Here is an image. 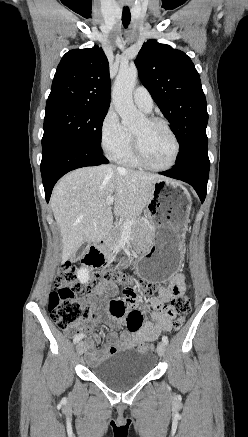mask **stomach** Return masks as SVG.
I'll return each instance as SVG.
<instances>
[{"instance_id": "obj_1", "label": "stomach", "mask_w": 248, "mask_h": 437, "mask_svg": "<svg viewBox=\"0 0 248 437\" xmlns=\"http://www.w3.org/2000/svg\"><path fill=\"white\" fill-rule=\"evenodd\" d=\"M191 209L188 191L180 184L160 180L154 184L147 204L152 226L149 248L136 263L146 286H166L178 270Z\"/></svg>"}]
</instances>
